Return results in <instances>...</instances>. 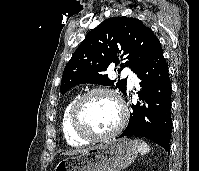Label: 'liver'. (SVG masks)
Listing matches in <instances>:
<instances>
[{"label":"liver","mask_w":199,"mask_h":171,"mask_svg":"<svg viewBox=\"0 0 199 171\" xmlns=\"http://www.w3.org/2000/svg\"><path fill=\"white\" fill-rule=\"evenodd\" d=\"M90 149H86V150H76V151H69V152H65L64 155H76V154H83L86 151H88Z\"/></svg>","instance_id":"6515ba94"}]
</instances>
